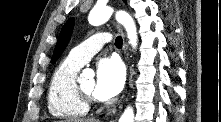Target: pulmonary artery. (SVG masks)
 <instances>
[{
	"instance_id": "pulmonary-artery-1",
	"label": "pulmonary artery",
	"mask_w": 221,
	"mask_h": 122,
	"mask_svg": "<svg viewBox=\"0 0 221 122\" xmlns=\"http://www.w3.org/2000/svg\"><path fill=\"white\" fill-rule=\"evenodd\" d=\"M110 40L111 37L106 32L94 34L73 48L69 54V58L83 66L94 54L101 50L106 43L110 42Z\"/></svg>"
}]
</instances>
